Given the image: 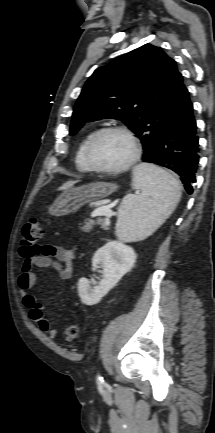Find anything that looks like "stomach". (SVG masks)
I'll list each match as a JSON object with an SVG mask.
<instances>
[{
    "instance_id": "0dacf381",
    "label": "stomach",
    "mask_w": 215,
    "mask_h": 433,
    "mask_svg": "<svg viewBox=\"0 0 215 433\" xmlns=\"http://www.w3.org/2000/svg\"><path fill=\"white\" fill-rule=\"evenodd\" d=\"M113 183L94 182L66 190L49 208L50 214L64 216L90 202L108 197L117 190Z\"/></svg>"
}]
</instances>
